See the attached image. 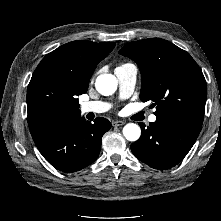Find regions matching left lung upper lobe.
I'll list each match as a JSON object with an SVG mask.
<instances>
[{
  "instance_id": "left-lung-upper-lobe-1",
  "label": "left lung upper lobe",
  "mask_w": 221,
  "mask_h": 221,
  "mask_svg": "<svg viewBox=\"0 0 221 221\" xmlns=\"http://www.w3.org/2000/svg\"><path fill=\"white\" fill-rule=\"evenodd\" d=\"M119 53L134 60L141 71L140 99L156 106L158 118H186L203 122L207 86L188 52L167 40L131 42Z\"/></svg>"
}]
</instances>
